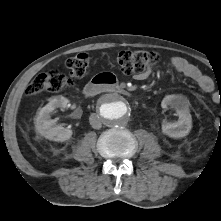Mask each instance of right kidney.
<instances>
[{
	"label": "right kidney",
	"mask_w": 221,
	"mask_h": 221,
	"mask_svg": "<svg viewBox=\"0 0 221 221\" xmlns=\"http://www.w3.org/2000/svg\"><path fill=\"white\" fill-rule=\"evenodd\" d=\"M67 103L68 99L65 97L56 96L38 111L35 118V129L41 136L56 142H64L71 138L72 130L56 124V122L50 117V113L54 109L66 108Z\"/></svg>",
	"instance_id": "ca27d5eb"
}]
</instances>
